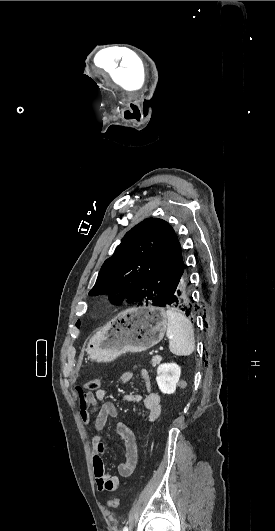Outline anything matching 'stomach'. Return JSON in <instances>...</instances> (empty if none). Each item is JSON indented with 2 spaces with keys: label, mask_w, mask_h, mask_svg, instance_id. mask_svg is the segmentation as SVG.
Returning <instances> with one entry per match:
<instances>
[{
  "label": "stomach",
  "mask_w": 275,
  "mask_h": 531,
  "mask_svg": "<svg viewBox=\"0 0 275 531\" xmlns=\"http://www.w3.org/2000/svg\"><path fill=\"white\" fill-rule=\"evenodd\" d=\"M166 329L167 315L161 307H132L91 337L87 355L96 363H111L123 353H143L162 341Z\"/></svg>",
  "instance_id": "1"
}]
</instances>
